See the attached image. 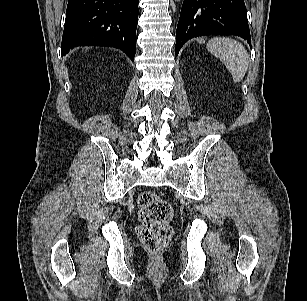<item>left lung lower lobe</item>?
Returning <instances> with one entry per match:
<instances>
[{"label":"left lung lower lobe","mask_w":307,"mask_h":301,"mask_svg":"<svg viewBox=\"0 0 307 301\" xmlns=\"http://www.w3.org/2000/svg\"><path fill=\"white\" fill-rule=\"evenodd\" d=\"M203 35H237L251 46L244 0H184L176 33V55L183 44Z\"/></svg>","instance_id":"left-lung-lower-lobe-1"}]
</instances>
